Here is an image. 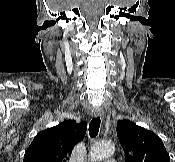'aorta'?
<instances>
[{
	"instance_id": "obj_1",
	"label": "aorta",
	"mask_w": 175,
	"mask_h": 162,
	"mask_svg": "<svg viewBox=\"0 0 175 162\" xmlns=\"http://www.w3.org/2000/svg\"><path fill=\"white\" fill-rule=\"evenodd\" d=\"M115 151L114 144L109 141L96 142L90 151V162H98L111 156Z\"/></svg>"
}]
</instances>
